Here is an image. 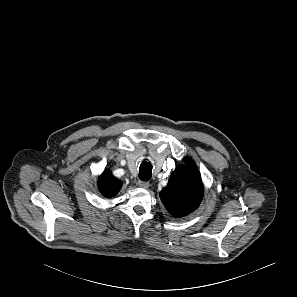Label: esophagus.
<instances>
[{
	"label": "esophagus",
	"instance_id": "1",
	"mask_svg": "<svg viewBox=\"0 0 297 297\" xmlns=\"http://www.w3.org/2000/svg\"><path fill=\"white\" fill-rule=\"evenodd\" d=\"M138 186L140 188L147 189L150 186V183L148 181H139Z\"/></svg>",
	"mask_w": 297,
	"mask_h": 297
}]
</instances>
